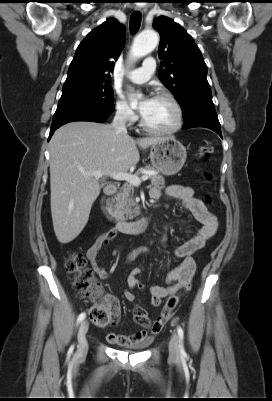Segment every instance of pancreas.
I'll return each mask as SVG.
<instances>
[{"mask_svg": "<svg viewBox=\"0 0 272 401\" xmlns=\"http://www.w3.org/2000/svg\"><path fill=\"white\" fill-rule=\"evenodd\" d=\"M143 170L149 172L154 171L152 167L147 166L143 169H139L135 175H144ZM148 176L152 186L159 189H163L165 187V180L163 176L157 174H149ZM133 194L134 186L130 183H126L120 188V191L114 197V215L117 219L131 220L139 214L138 208H134L136 203L133 199Z\"/></svg>", "mask_w": 272, "mask_h": 401, "instance_id": "obj_1", "label": "pancreas"}]
</instances>
